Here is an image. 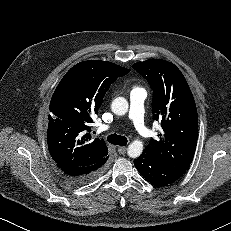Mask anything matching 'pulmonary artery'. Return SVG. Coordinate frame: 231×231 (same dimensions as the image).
I'll use <instances>...</instances> for the list:
<instances>
[{"label": "pulmonary artery", "instance_id": "pulmonary-artery-1", "mask_svg": "<svg viewBox=\"0 0 231 231\" xmlns=\"http://www.w3.org/2000/svg\"><path fill=\"white\" fill-rule=\"evenodd\" d=\"M146 91L141 88L133 89L130 92L129 98V112L128 117L133 122L137 132L142 137L151 136V131L145 126L144 123V101L146 99ZM104 130L110 129V126L104 125Z\"/></svg>", "mask_w": 231, "mask_h": 231}]
</instances>
